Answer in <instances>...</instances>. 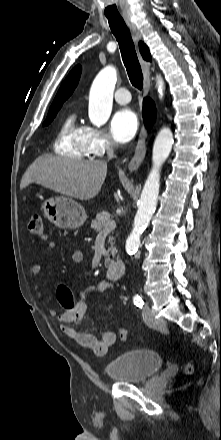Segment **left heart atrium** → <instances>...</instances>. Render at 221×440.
I'll list each match as a JSON object with an SVG mask.
<instances>
[{
    "label": "left heart atrium",
    "mask_w": 221,
    "mask_h": 440,
    "mask_svg": "<svg viewBox=\"0 0 221 440\" xmlns=\"http://www.w3.org/2000/svg\"><path fill=\"white\" fill-rule=\"evenodd\" d=\"M110 128L113 137L119 142L131 140L138 129V119L129 109L118 111L112 118Z\"/></svg>",
    "instance_id": "39dd6f15"
}]
</instances>
